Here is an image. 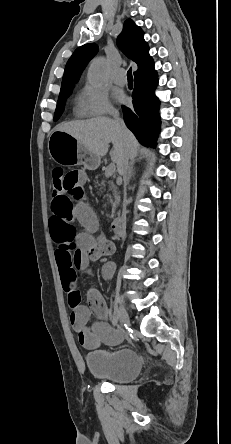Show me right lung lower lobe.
Masks as SVG:
<instances>
[{"mask_svg": "<svg viewBox=\"0 0 231 444\" xmlns=\"http://www.w3.org/2000/svg\"><path fill=\"white\" fill-rule=\"evenodd\" d=\"M154 65L135 76L133 108L123 107L124 121L142 145L156 146L159 134V99L155 96L158 83Z\"/></svg>", "mask_w": 231, "mask_h": 444, "instance_id": "1", "label": "right lung lower lobe"}]
</instances>
